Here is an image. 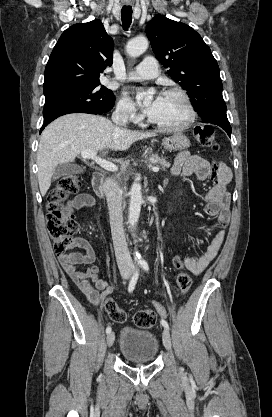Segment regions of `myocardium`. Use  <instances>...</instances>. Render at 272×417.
<instances>
[{"mask_svg": "<svg viewBox=\"0 0 272 417\" xmlns=\"http://www.w3.org/2000/svg\"><path fill=\"white\" fill-rule=\"evenodd\" d=\"M164 95H174L182 99L188 113L186 120L178 125H162L154 122L152 119H150L149 122L162 132H180L188 129L196 119V110L188 93L181 88H171L166 90Z\"/></svg>", "mask_w": 272, "mask_h": 417, "instance_id": "1", "label": "myocardium"}]
</instances>
